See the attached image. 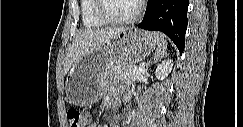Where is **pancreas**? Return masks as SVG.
Instances as JSON below:
<instances>
[{
    "label": "pancreas",
    "instance_id": "cf45deb5",
    "mask_svg": "<svg viewBox=\"0 0 243 127\" xmlns=\"http://www.w3.org/2000/svg\"><path fill=\"white\" fill-rule=\"evenodd\" d=\"M138 68L132 64H124L112 71V77L115 80H122L128 84H133L136 78L140 75L137 73Z\"/></svg>",
    "mask_w": 243,
    "mask_h": 127
}]
</instances>
